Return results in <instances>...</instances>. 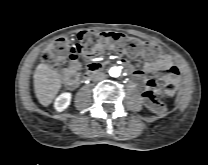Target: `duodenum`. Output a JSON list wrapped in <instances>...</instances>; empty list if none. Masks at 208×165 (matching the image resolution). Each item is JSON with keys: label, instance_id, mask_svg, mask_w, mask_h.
I'll list each match as a JSON object with an SVG mask.
<instances>
[{"label": "duodenum", "instance_id": "1", "mask_svg": "<svg viewBox=\"0 0 208 165\" xmlns=\"http://www.w3.org/2000/svg\"><path fill=\"white\" fill-rule=\"evenodd\" d=\"M99 70V65L94 64L92 66L89 67L84 79H87L91 74H93L94 72Z\"/></svg>", "mask_w": 208, "mask_h": 165}]
</instances>
